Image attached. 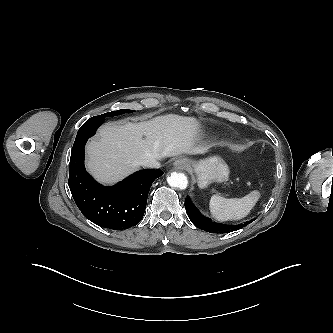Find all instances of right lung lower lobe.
Segmentation results:
<instances>
[{"label":"right lung lower lobe","mask_w":333,"mask_h":333,"mask_svg":"<svg viewBox=\"0 0 333 333\" xmlns=\"http://www.w3.org/2000/svg\"><path fill=\"white\" fill-rule=\"evenodd\" d=\"M103 121L104 117L95 116L80 127L71 151L68 184L76 205L86 218L104 228L124 230L141 221L148 190L163 172L140 170L110 187L93 180L84 167V146Z\"/></svg>","instance_id":"98d812e1"}]
</instances>
